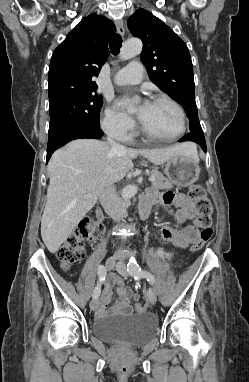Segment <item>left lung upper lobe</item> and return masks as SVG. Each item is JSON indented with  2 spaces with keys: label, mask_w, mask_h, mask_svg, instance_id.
<instances>
[{
  "label": "left lung upper lobe",
  "mask_w": 249,
  "mask_h": 382,
  "mask_svg": "<svg viewBox=\"0 0 249 382\" xmlns=\"http://www.w3.org/2000/svg\"><path fill=\"white\" fill-rule=\"evenodd\" d=\"M131 33L143 42L140 58L150 80L185 110L190 132H203L194 96L193 65L184 41L144 9L128 19Z\"/></svg>",
  "instance_id": "1"
}]
</instances>
